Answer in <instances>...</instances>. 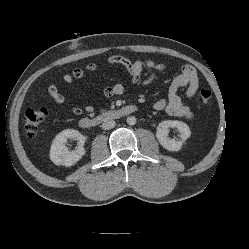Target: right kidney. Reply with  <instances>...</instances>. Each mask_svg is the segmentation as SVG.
Instances as JSON below:
<instances>
[{
	"label": "right kidney",
	"instance_id": "ca27d5eb",
	"mask_svg": "<svg viewBox=\"0 0 249 249\" xmlns=\"http://www.w3.org/2000/svg\"><path fill=\"white\" fill-rule=\"evenodd\" d=\"M68 139L78 140V148L73 151H69L65 143ZM85 143V137L77 130L66 129L60 132L53 140L50 148V159L56 165H63L66 167L74 165L78 162L83 155H85V149L83 147Z\"/></svg>",
	"mask_w": 249,
	"mask_h": 249
}]
</instances>
